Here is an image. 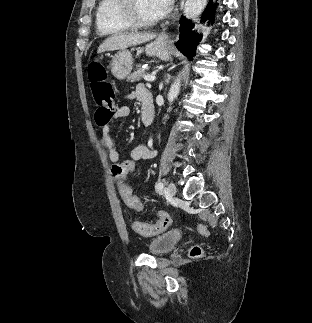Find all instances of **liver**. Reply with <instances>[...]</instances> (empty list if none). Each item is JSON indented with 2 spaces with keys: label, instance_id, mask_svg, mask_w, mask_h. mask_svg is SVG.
Instances as JSON below:
<instances>
[{
  "label": "liver",
  "instance_id": "1",
  "mask_svg": "<svg viewBox=\"0 0 312 323\" xmlns=\"http://www.w3.org/2000/svg\"><path fill=\"white\" fill-rule=\"evenodd\" d=\"M155 34H113L110 38H106L103 44H100L97 54L102 52H113V50H124L128 46H138L143 42L154 40Z\"/></svg>",
  "mask_w": 312,
  "mask_h": 323
}]
</instances>
